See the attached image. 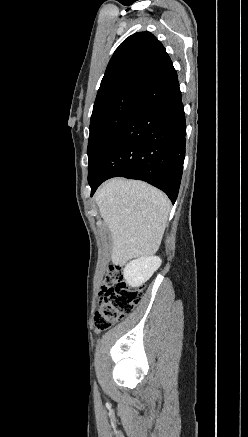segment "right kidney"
I'll use <instances>...</instances> for the list:
<instances>
[{"instance_id": "ca27d5eb", "label": "right kidney", "mask_w": 248, "mask_h": 437, "mask_svg": "<svg viewBox=\"0 0 248 437\" xmlns=\"http://www.w3.org/2000/svg\"><path fill=\"white\" fill-rule=\"evenodd\" d=\"M161 263V259L157 256L141 257L130 261L124 268V278L129 286L139 287L150 279Z\"/></svg>"}]
</instances>
